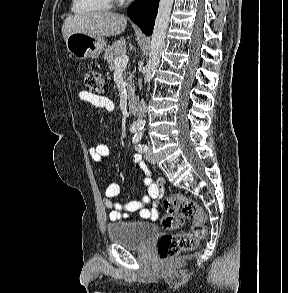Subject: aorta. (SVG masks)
I'll list each match as a JSON object with an SVG mask.
<instances>
[{
	"label": "aorta",
	"instance_id": "1",
	"mask_svg": "<svg viewBox=\"0 0 288 293\" xmlns=\"http://www.w3.org/2000/svg\"><path fill=\"white\" fill-rule=\"evenodd\" d=\"M174 0H160L158 12L155 20L154 30L151 36L150 54L147 62L144 83H150L156 69L160 63L161 53L165 45L166 32ZM135 125L138 129H143L145 122L137 120Z\"/></svg>",
	"mask_w": 288,
	"mask_h": 293
}]
</instances>
